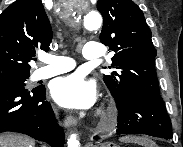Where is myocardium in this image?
I'll use <instances>...</instances> for the list:
<instances>
[{
	"mask_svg": "<svg viewBox=\"0 0 183 147\" xmlns=\"http://www.w3.org/2000/svg\"><path fill=\"white\" fill-rule=\"evenodd\" d=\"M98 115L102 119H110L114 117V112L110 108H101Z\"/></svg>",
	"mask_w": 183,
	"mask_h": 147,
	"instance_id": "obj_1",
	"label": "myocardium"
}]
</instances>
